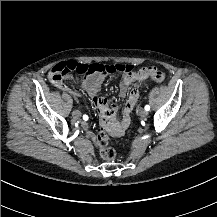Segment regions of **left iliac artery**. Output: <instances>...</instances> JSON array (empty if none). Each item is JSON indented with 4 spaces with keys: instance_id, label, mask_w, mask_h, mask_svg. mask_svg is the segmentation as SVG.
Wrapping results in <instances>:
<instances>
[{
    "instance_id": "obj_1",
    "label": "left iliac artery",
    "mask_w": 217,
    "mask_h": 217,
    "mask_svg": "<svg viewBox=\"0 0 217 217\" xmlns=\"http://www.w3.org/2000/svg\"><path fill=\"white\" fill-rule=\"evenodd\" d=\"M145 110H146V111H149V110H150V106H149V105H146V106H145Z\"/></svg>"
}]
</instances>
